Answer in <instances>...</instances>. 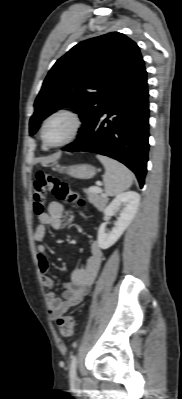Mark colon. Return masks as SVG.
I'll return each mask as SVG.
<instances>
[{
  "instance_id": "colon-1",
  "label": "colon",
  "mask_w": 182,
  "mask_h": 399,
  "mask_svg": "<svg viewBox=\"0 0 182 399\" xmlns=\"http://www.w3.org/2000/svg\"><path fill=\"white\" fill-rule=\"evenodd\" d=\"M49 192L69 205H76L81 209H86L84 200L71 189L68 183L48 172L39 171L35 175L32 190L33 210L36 215L44 214ZM57 326L62 336L70 337L74 330V319L72 316H62L58 319Z\"/></svg>"
}]
</instances>
